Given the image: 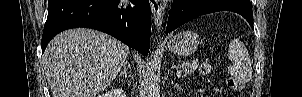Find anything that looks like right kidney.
Here are the masks:
<instances>
[{"instance_id":"obj_1","label":"right kidney","mask_w":302,"mask_h":97,"mask_svg":"<svg viewBox=\"0 0 302 97\" xmlns=\"http://www.w3.org/2000/svg\"><path fill=\"white\" fill-rule=\"evenodd\" d=\"M117 93L119 95H121V97H125L126 96L125 93H124V91L122 89L117 90ZM104 96H106V95H100V97H104Z\"/></svg>"}]
</instances>
